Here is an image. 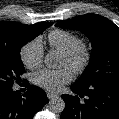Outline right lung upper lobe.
Returning <instances> with one entry per match:
<instances>
[{"label":"right lung upper lobe","instance_id":"cb5924a9","mask_svg":"<svg viewBox=\"0 0 119 119\" xmlns=\"http://www.w3.org/2000/svg\"><path fill=\"white\" fill-rule=\"evenodd\" d=\"M19 24L20 23H17V22H14V21L0 22V34L5 33L8 29L13 28V27H15Z\"/></svg>","mask_w":119,"mask_h":119}]
</instances>
